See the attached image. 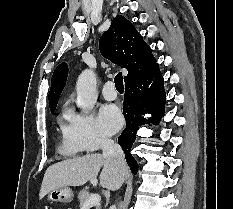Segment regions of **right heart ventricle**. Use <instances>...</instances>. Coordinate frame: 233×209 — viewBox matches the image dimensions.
Instances as JSON below:
<instances>
[{
	"instance_id": "right-heart-ventricle-1",
	"label": "right heart ventricle",
	"mask_w": 233,
	"mask_h": 209,
	"mask_svg": "<svg viewBox=\"0 0 233 209\" xmlns=\"http://www.w3.org/2000/svg\"><path fill=\"white\" fill-rule=\"evenodd\" d=\"M58 121H59L60 125L65 129L63 119L60 117ZM59 151L65 156H75V155L80 154L83 150L70 144L65 138L62 145L59 148Z\"/></svg>"
}]
</instances>
